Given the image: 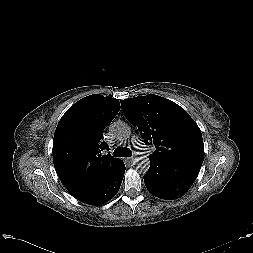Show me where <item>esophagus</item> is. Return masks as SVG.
<instances>
[{
	"label": "esophagus",
	"mask_w": 253,
	"mask_h": 253,
	"mask_svg": "<svg viewBox=\"0 0 253 253\" xmlns=\"http://www.w3.org/2000/svg\"><path fill=\"white\" fill-rule=\"evenodd\" d=\"M129 163H132L134 160H135V158L134 157H129V158H127L126 159Z\"/></svg>",
	"instance_id": "1"
}]
</instances>
